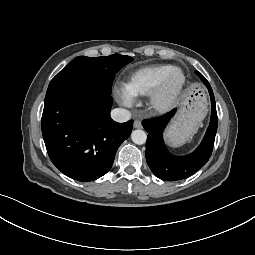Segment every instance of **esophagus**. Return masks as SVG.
<instances>
[{"label":"esophagus","instance_id":"obj_1","mask_svg":"<svg viewBox=\"0 0 255 255\" xmlns=\"http://www.w3.org/2000/svg\"><path fill=\"white\" fill-rule=\"evenodd\" d=\"M133 126L134 128H142V123L139 120H135Z\"/></svg>","mask_w":255,"mask_h":255}]
</instances>
